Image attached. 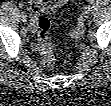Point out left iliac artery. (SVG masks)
<instances>
[{"label":"left iliac artery","instance_id":"1","mask_svg":"<svg viewBox=\"0 0 111 106\" xmlns=\"http://www.w3.org/2000/svg\"><path fill=\"white\" fill-rule=\"evenodd\" d=\"M93 2H94L93 0H89V3H90V4H93Z\"/></svg>","mask_w":111,"mask_h":106}]
</instances>
